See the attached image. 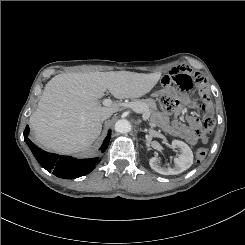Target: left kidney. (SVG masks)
<instances>
[{"label":"left kidney","instance_id":"left-kidney-1","mask_svg":"<svg viewBox=\"0 0 245 245\" xmlns=\"http://www.w3.org/2000/svg\"><path fill=\"white\" fill-rule=\"evenodd\" d=\"M172 147L180 150V155L174 158L173 167H165L159 158L152 157L149 161L150 167L162 175H177L190 168L193 164V153L190 147L183 141L173 140Z\"/></svg>","mask_w":245,"mask_h":245}]
</instances>
